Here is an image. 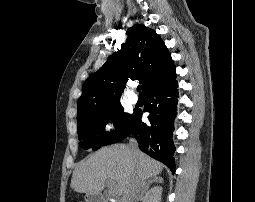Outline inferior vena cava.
Returning <instances> with one entry per match:
<instances>
[{"instance_id": "602c4592", "label": "inferior vena cava", "mask_w": 255, "mask_h": 202, "mask_svg": "<svg viewBox=\"0 0 255 202\" xmlns=\"http://www.w3.org/2000/svg\"><path fill=\"white\" fill-rule=\"evenodd\" d=\"M132 151L138 150V145L136 142H132L130 144ZM146 189V182L140 180L138 178L133 179L127 186L126 190L124 191L121 202H134L138 198V196L144 194Z\"/></svg>"}]
</instances>
